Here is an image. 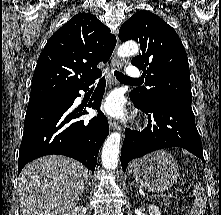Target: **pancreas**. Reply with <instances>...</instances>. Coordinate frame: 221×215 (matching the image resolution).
Returning a JSON list of instances; mask_svg holds the SVG:
<instances>
[{
  "instance_id": "1",
  "label": "pancreas",
  "mask_w": 221,
  "mask_h": 215,
  "mask_svg": "<svg viewBox=\"0 0 221 215\" xmlns=\"http://www.w3.org/2000/svg\"><path fill=\"white\" fill-rule=\"evenodd\" d=\"M164 206L168 207L169 206V200L168 199H164L163 200Z\"/></svg>"
}]
</instances>
